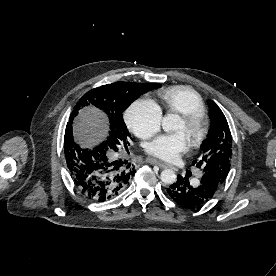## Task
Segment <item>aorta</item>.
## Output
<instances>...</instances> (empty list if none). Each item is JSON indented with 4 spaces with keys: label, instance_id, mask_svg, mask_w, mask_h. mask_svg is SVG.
<instances>
[{
    "label": "aorta",
    "instance_id": "aorta-1",
    "mask_svg": "<svg viewBox=\"0 0 276 276\" xmlns=\"http://www.w3.org/2000/svg\"><path fill=\"white\" fill-rule=\"evenodd\" d=\"M162 128L165 132L176 131L181 128L179 115L169 113L164 116L162 119ZM160 178L164 184L171 185L176 181L177 176L173 170L165 169L161 172Z\"/></svg>",
    "mask_w": 276,
    "mask_h": 276
}]
</instances>
